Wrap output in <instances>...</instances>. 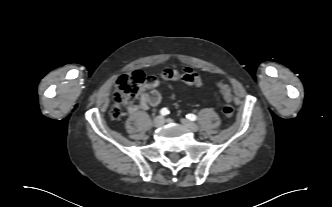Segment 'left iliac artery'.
<instances>
[{
	"label": "left iliac artery",
	"mask_w": 332,
	"mask_h": 207,
	"mask_svg": "<svg viewBox=\"0 0 332 207\" xmlns=\"http://www.w3.org/2000/svg\"><path fill=\"white\" fill-rule=\"evenodd\" d=\"M187 118H188L189 120H191V121H195V120H197V116L194 115V114H188V115H187Z\"/></svg>",
	"instance_id": "obj_1"
}]
</instances>
